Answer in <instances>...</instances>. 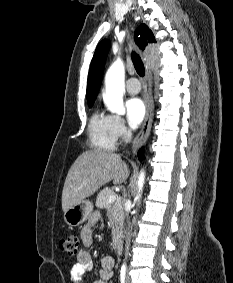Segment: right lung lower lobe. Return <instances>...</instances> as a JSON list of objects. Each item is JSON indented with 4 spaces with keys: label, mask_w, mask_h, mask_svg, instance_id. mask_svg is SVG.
Instances as JSON below:
<instances>
[{
    "label": "right lung lower lobe",
    "mask_w": 233,
    "mask_h": 283,
    "mask_svg": "<svg viewBox=\"0 0 233 283\" xmlns=\"http://www.w3.org/2000/svg\"><path fill=\"white\" fill-rule=\"evenodd\" d=\"M138 157H139L140 160H142V158H143V149H141V150L139 151Z\"/></svg>",
    "instance_id": "obj_1"
}]
</instances>
